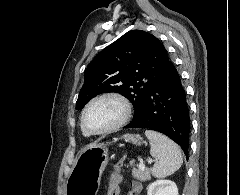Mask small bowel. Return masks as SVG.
Wrapping results in <instances>:
<instances>
[{"mask_svg":"<svg viewBox=\"0 0 240 195\" xmlns=\"http://www.w3.org/2000/svg\"><path fill=\"white\" fill-rule=\"evenodd\" d=\"M143 186L138 181H133L130 186V190L127 192V195H141Z\"/></svg>","mask_w":240,"mask_h":195,"instance_id":"obj_1","label":"small bowel"}]
</instances>
